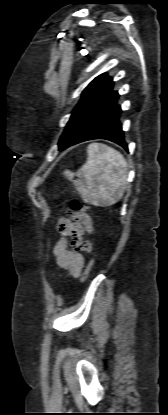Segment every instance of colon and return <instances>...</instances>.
I'll use <instances>...</instances> for the list:
<instances>
[{"mask_svg":"<svg viewBox=\"0 0 168 415\" xmlns=\"http://www.w3.org/2000/svg\"><path fill=\"white\" fill-rule=\"evenodd\" d=\"M71 207H76V208H78V210H82L83 213H85L86 210H87V206L79 199H72L69 203V208H71ZM92 266H93V259H90V261L88 262V264L85 268V271H84V274H83V277H82L83 281H85L87 279V277L89 276V274L91 272V269H92Z\"/></svg>","mask_w":168,"mask_h":415,"instance_id":"1","label":"colon"}]
</instances>
